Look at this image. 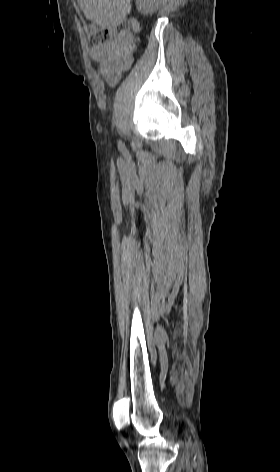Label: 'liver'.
<instances>
[{"label":"liver","mask_w":280,"mask_h":472,"mask_svg":"<svg viewBox=\"0 0 280 472\" xmlns=\"http://www.w3.org/2000/svg\"><path fill=\"white\" fill-rule=\"evenodd\" d=\"M86 18L101 28L122 23L131 11V0H78Z\"/></svg>","instance_id":"liver-1"}]
</instances>
